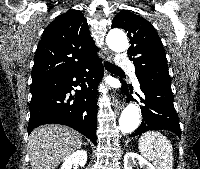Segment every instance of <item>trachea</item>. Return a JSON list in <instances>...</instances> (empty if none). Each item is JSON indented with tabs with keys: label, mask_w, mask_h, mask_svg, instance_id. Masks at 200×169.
Returning a JSON list of instances; mask_svg holds the SVG:
<instances>
[{
	"label": "trachea",
	"mask_w": 200,
	"mask_h": 169,
	"mask_svg": "<svg viewBox=\"0 0 200 169\" xmlns=\"http://www.w3.org/2000/svg\"><path fill=\"white\" fill-rule=\"evenodd\" d=\"M104 66L108 71H121L122 69L112 63L104 62Z\"/></svg>",
	"instance_id": "1"
}]
</instances>
